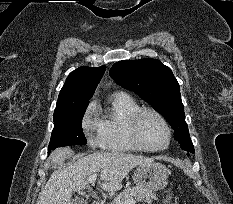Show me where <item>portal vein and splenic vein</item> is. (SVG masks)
<instances>
[{
  "instance_id": "18ae733b",
  "label": "portal vein and splenic vein",
  "mask_w": 233,
  "mask_h": 204,
  "mask_svg": "<svg viewBox=\"0 0 233 204\" xmlns=\"http://www.w3.org/2000/svg\"><path fill=\"white\" fill-rule=\"evenodd\" d=\"M96 178H97V174L94 173L92 174L89 178H88V183H94L96 181ZM136 201L134 200H131V201H127L125 204H135Z\"/></svg>"
}]
</instances>
